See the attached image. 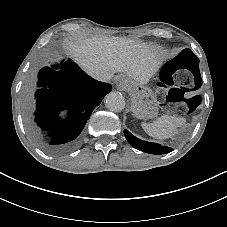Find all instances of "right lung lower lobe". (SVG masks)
<instances>
[{
	"mask_svg": "<svg viewBox=\"0 0 227 227\" xmlns=\"http://www.w3.org/2000/svg\"><path fill=\"white\" fill-rule=\"evenodd\" d=\"M38 76L44 88L36 92L35 121L48 133L44 147L53 154L65 153L76 147L86 121L112 87L94 80L71 60L53 68L44 67ZM63 110L68 116L61 120L58 114Z\"/></svg>",
	"mask_w": 227,
	"mask_h": 227,
	"instance_id": "98d812e1",
	"label": "right lung lower lobe"
}]
</instances>
